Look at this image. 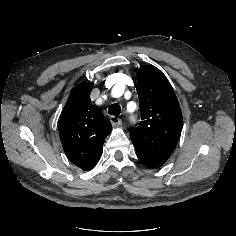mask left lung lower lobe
Masks as SVG:
<instances>
[{"label": "left lung lower lobe", "mask_w": 236, "mask_h": 236, "mask_svg": "<svg viewBox=\"0 0 236 236\" xmlns=\"http://www.w3.org/2000/svg\"><path fill=\"white\" fill-rule=\"evenodd\" d=\"M138 156H139L140 160L142 161V163L151 169H157L160 166H162L164 163L160 160L152 159V158L145 157L142 155H138Z\"/></svg>", "instance_id": "left-lung-lower-lobe-1"}]
</instances>
